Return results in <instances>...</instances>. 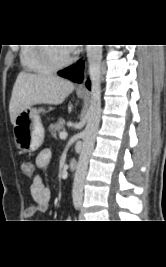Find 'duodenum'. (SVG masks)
I'll use <instances>...</instances> for the list:
<instances>
[{"instance_id": "1", "label": "duodenum", "mask_w": 166, "mask_h": 267, "mask_svg": "<svg viewBox=\"0 0 166 267\" xmlns=\"http://www.w3.org/2000/svg\"><path fill=\"white\" fill-rule=\"evenodd\" d=\"M69 169L75 171L77 169V162L74 159H71L69 162Z\"/></svg>"}]
</instances>
